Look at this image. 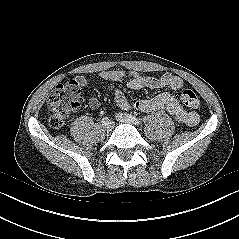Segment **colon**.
Returning a JSON list of instances; mask_svg holds the SVG:
<instances>
[{
  "mask_svg": "<svg viewBox=\"0 0 239 239\" xmlns=\"http://www.w3.org/2000/svg\"><path fill=\"white\" fill-rule=\"evenodd\" d=\"M81 86L75 80L58 85L47 99V114L52 128L62 127L69 115L80 106ZM182 103L190 109L200 105L197 94L189 88L180 95Z\"/></svg>",
  "mask_w": 239,
  "mask_h": 239,
  "instance_id": "obj_1",
  "label": "colon"
}]
</instances>
